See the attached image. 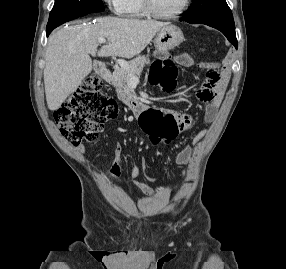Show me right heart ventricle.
<instances>
[{
	"label": "right heart ventricle",
	"mask_w": 286,
	"mask_h": 269,
	"mask_svg": "<svg viewBox=\"0 0 286 269\" xmlns=\"http://www.w3.org/2000/svg\"><path fill=\"white\" fill-rule=\"evenodd\" d=\"M120 13L127 18L139 19L146 17L141 0H123Z\"/></svg>",
	"instance_id": "obj_1"
}]
</instances>
